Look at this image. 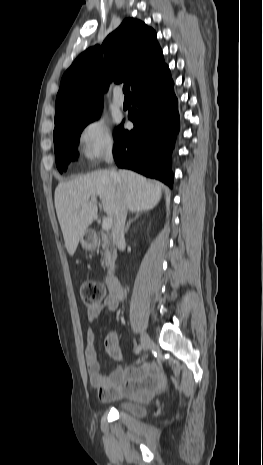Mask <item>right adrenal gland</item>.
Returning a JSON list of instances; mask_svg holds the SVG:
<instances>
[{
  "mask_svg": "<svg viewBox=\"0 0 263 465\" xmlns=\"http://www.w3.org/2000/svg\"><path fill=\"white\" fill-rule=\"evenodd\" d=\"M139 218V214L137 213L134 218L130 219L126 225L125 232H128L131 224L135 222Z\"/></svg>",
  "mask_w": 263,
  "mask_h": 465,
  "instance_id": "2a0ac1e0",
  "label": "right adrenal gland"
}]
</instances>
